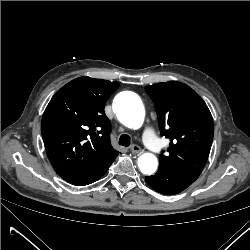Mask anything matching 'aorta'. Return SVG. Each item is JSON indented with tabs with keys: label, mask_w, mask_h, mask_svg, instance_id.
Listing matches in <instances>:
<instances>
[{
	"label": "aorta",
	"mask_w": 250,
	"mask_h": 250,
	"mask_svg": "<svg viewBox=\"0 0 250 250\" xmlns=\"http://www.w3.org/2000/svg\"><path fill=\"white\" fill-rule=\"evenodd\" d=\"M113 109L121 114L122 123L129 128L140 126L144 121L145 109L141 99L135 93L122 92L117 95L113 102ZM138 167L145 175L153 174L158 167L156 156L151 153L140 155Z\"/></svg>",
	"instance_id": "obj_1"
}]
</instances>
